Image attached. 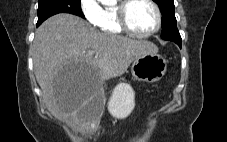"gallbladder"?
<instances>
[{
    "mask_svg": "<svg viewBox=\"0 0 227 142\" xmlns=\"http://www.w3.org/2000/svg\"><path fill=\"white\" fill-rule=\"evenodd\" d=\"M104 101V93H95V97L81 109L82 117L98 122L104 108Z\"/></svg>",
    "mask_w": 227,
    "mask_h": 142,
    "instance_id": "obj_1",
    "label": "gallbladder"
}]
</instances>
